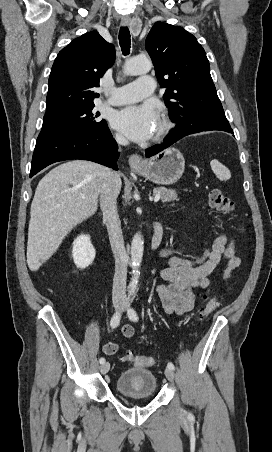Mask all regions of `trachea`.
<instances>
[{"label":"trachea","mask_w":272,"mask_h":452,"mask_svg":"<svg viewBox=\"0 0 272 452\" xmlns=\"http://www.w3.org/2000/svg\"><path fill=\"white\" fill-rule=\"evenodd\" d=\"M119 43H120L123 54L128 55L130 52L131 39H130V31H129L128 27H126V26L120 28Z\"/></svg>","instance_id":"1"}]
</instances>
